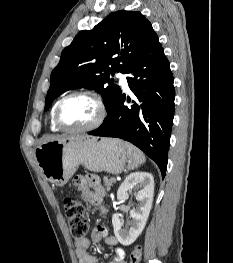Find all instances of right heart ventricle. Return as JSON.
Returning a JSON list of instances; mask_svg holds the SVG:
<instances>
[{
    "label": "right heart ventricle",
    "instance_id": "right-heart-ventricle-1",
    "mask_svg": "<svg viewBox=\"0 0 233 263\" xmlns=\"http://www.w3.org/2000/svg\"><path fill=\"white\" fill-rule=\"evenodd\" d=\"M58 102H59V100L53 105V107L51 108V111H50V115H49V124H50L51 130H53V131H59L60 130V128L56 125L55 120H54L55 109H56Z\"/></svg>",
    "mask_w": 233,
    "mask_h": 263
}]
</instances>
